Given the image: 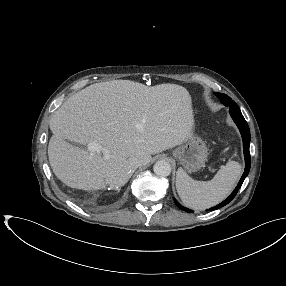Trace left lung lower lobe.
Masks as SVG:
<instances>
[{
  "label": "left lung lower lobe",
  "mask_w": 286,
  "mask_h": 286,
  "mask_svg": "<svg viewBox=\"0 0 286 286\" xmlns=\"http://www.w3.org/2000/svg\"><path fill=\"white\" fill-rule=\"evenodd\" d=\"M230 115L233 118L234 122L236 123V125L239 128L240 133L242 135L246 167H245L244 173H243L238 185L236 186L234 191L230 194V196L227 199H225L223 202L218 204L217 206L210 208L209 209L210 211L219 209V208L227 205L229 202H231L233 200V198L235 197V195L237 194V192L240 189L244 179L247 177V175L250 171V165H251L250 152H249L250 130H249L248 124H247L246 120L244 119V117L240 111L230 110ZM174 201L180 209H182L186 212H191V213L194 212L188 208L183 207L176 200H174Z\"/></svg>",
  "instance_id": "0a47b994"
}]
</instances>
